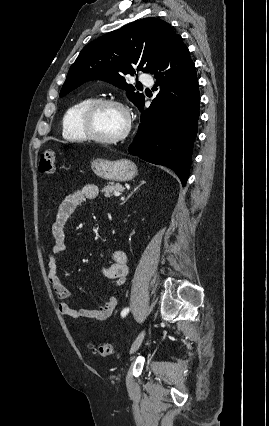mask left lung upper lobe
<instances>
[{
    "label": "left lung upper lobe",
    "mask_w": 269,
    "mask_h": 426,
    "mask_svg": "<svg viewBox=\"0 0 269 426\" xmlns=\"http://www.w3.org/2000/svg\"><path fill=\"white\" fill-rule=\"evenodd\" d=\"M178 36L167 22L150 17L95 39L70 67L60 97L87 81L99 79L126 90L138 107L144 96L126 83V75H135L134 68L150 72Z\"/></svg>",
    "instance_id": "5c2ea615"
}]
</instances>
